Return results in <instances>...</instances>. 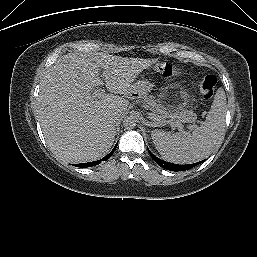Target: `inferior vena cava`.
<instances>
[{"label":"inferior vena cava","mask_w":257,"mask_h":257,"mask_svg":"<svg viewBox=\"0 0 257 257\" xmlns=\"http://www.w3.org/2000/svg\"><path fill=\"white\" fill-rule=\"evenodd\" d=\"M120 118H121V115L119 113H116V112L113 113L112 116H111V120L113 122H117L118 120H120Z\"/></svg>","instance_id":"602c4592"}]
</instances>
